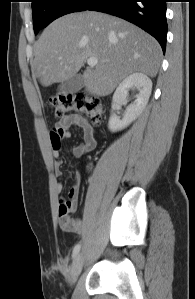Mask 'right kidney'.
Segmentation results:
<instances>
[{"label": "right kidney", "mask_w": 195, "mask_h": 299, "mask_svg": "<svg viewBox=\"0 0 195 299\" xmlns=\"http://www.w3.org/2000/svg\"><path fill=\"white\" fill-rule=\"evenodd\" d=\"M130 89H136L138 94L136 95L135 101L130 104L125 112V115L122 119L117 117L114 114H111L108 128L112 132H116L126 128L130 125L137 117L142 113L145 109L149 97L152 91V81L150 78L143 73H133L126 77L117 87L112 103L113 110L119 109L121 107V103L125 101L128 97V91Z\"/></svg>", "instance_id": "1"}]
</instances>
